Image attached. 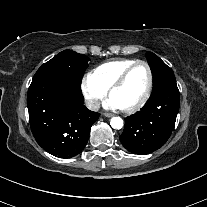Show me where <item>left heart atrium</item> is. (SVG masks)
Wrapping results in <instances>:
<instances>
[{"label":"left heart atrium","mask_w":207,"mask_h":207,"mask_svg":"<svg viewBox=\"0 0 207 207\" xmlns=\"http://www.w3.org/2000/svg\"><path fill=\"white\" fill-rule=\"evenodd\" d=\"M104 107L109 109L119 108L118 105L111 98L104 103Z\"/></svg>","instance_id":"left-heart-atrium-1"}]
</instances>
